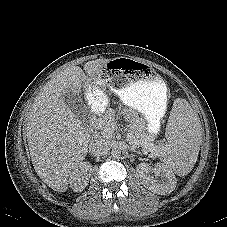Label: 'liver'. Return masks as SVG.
<instances>
[{
    "instance_id": "liver-1",
    "label": "liver",
    "mask_w": 227,
    "mask_h": 227,
    "mask_svg": "<svg viewBox=\"0 0 227 227\" xmlns=\"http://www.w3.org/2000/svg\"><path fill=\"white\" fill-rule=\"evenodd\" d=\"M108 59L89 61L84 71L71 66L46 83L35 98L27 122V140L34 169L51 189L65 192L72 171L88 152L90 134L82 121L64 103L72 91L80 97L91 83L92 70ZM81 98V97H80Z\"/></svg>"
}]
</instances>
